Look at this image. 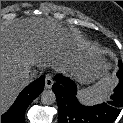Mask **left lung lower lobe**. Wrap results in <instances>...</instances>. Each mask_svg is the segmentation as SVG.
Returning a JSON list of instances; mask_svg holds the SVG:
<instances>
[{"label": "left lung lower lobe", "mask_w": 123, "mask_h": 123, "mask_svg": "<svg viewBox=\"0 0 123 123\" xmlns=\"http://www.w3.org/2000/svg\"><path fill=\"white\" fill-rule=\"evenodd\" d=\"M122 66V61L118 66ZM110 101L96 106H84L76 98V84L61 74L55 76L52 90L58 105V123H113L123 107V74Z\"/></svg>", "instance_id": "obj_1"}]
</instances>
